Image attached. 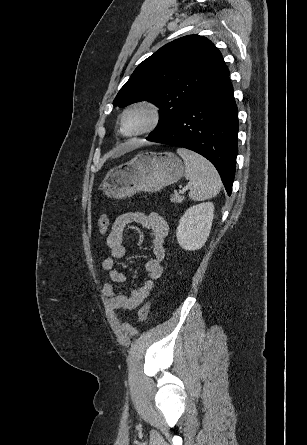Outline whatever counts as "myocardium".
I'll return each instance as SVG.
<instances>
[{"mask_svg": "<svg viewBox=\"0 0 307 445\" xmlns=\"http://www.w3.org/2000/svg\"><path fill=\"white\" fill-rule=\"evenodd\" d=\"M135 107H146V108H148L151 111V113H152V122H151V124L147 128H145V129H143L141 131H138V132L133 133V134H127V133H125L124 127H123L124 119H125V116H126L127 112L130 109L135 108ZM163 119H164V113H163V110H162V108H161V106L159 104H157L156 102L151 101V100H138V101H135V102L129 104L124 109V111H123V113L121 115V119H120V133L124 137H127V138L138 137V136H142V135H145V134H149V133H152V132L156 131L161 126V124L163 122Z\"/></svg>", "mask_w": 307, "mask_h": 445, "instance_id": "obj_1", "label": "myocardium"}]
</instances>
